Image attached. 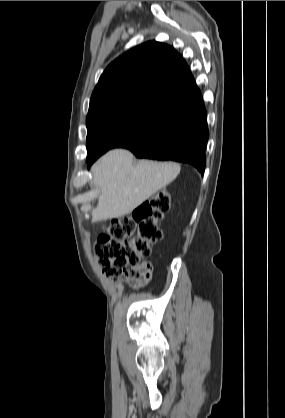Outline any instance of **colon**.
I'll return each mask as SVG.
<instances>
[{"label":"colon","mask_w":285,"mask_h":418,"mask_svg":"<svg viewBox=\"0 0 285 418\" xmlns=\"http://www.w3.org/2000/svg\"><path fill=\"white\" fill-rule=\"evenodd\" d=\"M170 209V193L160 190L121 220H113L97 234L95 253L102 273L109 278L129 274V268L144 266L153 245L162 237L159 220Z\"/></svg>","instance_id":"colon-1"}]
</instances>
